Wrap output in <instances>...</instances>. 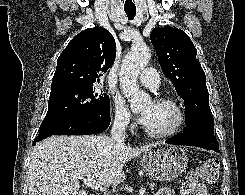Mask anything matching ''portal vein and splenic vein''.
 I'll use <instances>...</instances> for the list:
<instances>
[{
  "mask_svg": "<svg viewBox=\"0 0 245 195\" xmlns=\"http://www.w3.org/2000/svg\"><path fill=\"white\" fill-rule=\"evenodd\" d=\"M75 178L77 179H80L83 181V183L92 188V189H95V190H98L100 189L101 191H106V189L104 190L95 180H93L92 178H85V177H82V176H79V175H75L74 176ZM145 193V188L142 187L139 191V195H143Z\"/></svg>",
  "mask_w": 245,
  "mask_h": 195,
  "instance_id": "1",
  "label": "portal vein and splenic vein"
}]
</instances>
